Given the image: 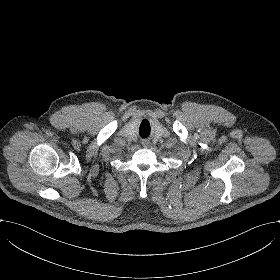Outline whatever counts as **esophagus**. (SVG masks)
Segmentation results:
<instances>
[{"instance_id": "esophagus-1", "label": "esophagus", "mask_w": 280, "mask_h": 280, "mask_svg": "<svg viewBox=\"0 0 280 280\" xmlns=\"http://www.w3.org/2000/svg\"><path fill=\"white\" fill-rule=\"evenodd\" d=\"M141 145L144 147V148H149L151 146V143L148 139H144L141 141Z\"/></svg>"}]
</instances>
